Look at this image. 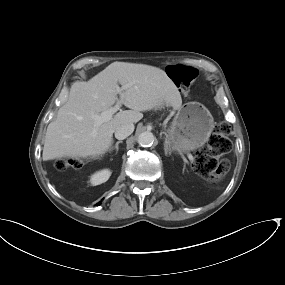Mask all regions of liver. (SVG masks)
<instances>
[{
	"instance_id": "1",
	"label": "liver",
	"mask_w": 285,
	"mask_h": 285,
	"mask_svg": "<svg viewBox=\"0 0 285 285\" xmlns=\"http://www.w3.org/2000/svg\"><path fill=\"white\" fill-rule=\"evenodd\" d=\"M123 87L122 104L131 110L120 111L105 122L95 115L112 108L118 101L117 87ZM166 104L179 109L178 88L160 68L136 63L113 62L87 82H74L66 103L45 135L44 161L70 158H97L113 144V133L124 123H137L143 111Z\"/></svg>"
}]
</instances>
